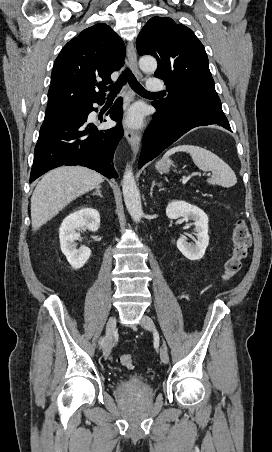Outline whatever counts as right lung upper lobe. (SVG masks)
Segmentation results:
<instances>
[{
  "mask_svg": "<svg viewBox=\"0 0 272 452\" xmlns=\"http://www.w3.org/2000/svg\"><path fill=\"white\" fill-rule=\"evenodd\" d=\"M124 57L125 45L108 25L83 30L55 60L45 114L68 113L105 99V86L112 83L110 75L122 67Z\"/></svg>",
  "mask_w": 272,
  "mask_h": 452,
  "instance_id": "cb5924a9",
  "label": "right lung upper lobe"
}]
</instances>
